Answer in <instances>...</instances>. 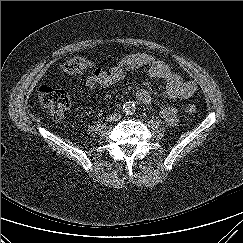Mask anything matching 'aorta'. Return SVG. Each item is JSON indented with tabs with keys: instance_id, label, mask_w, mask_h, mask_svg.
<instances>
[{
	"instance_id": "762f6f07",
	"label": "aorta",
	"mask_w": 243,
	"mask_h": 243,
	"mask_svg": "<svg viewBox=\"0 0 243 243\" xmlns=\"http://www.w3.org/2000/svg\"><path fill=\"white\" fill-rule=\"evenodd\" d=\"M123 111L126 114H133L135 112V105L132 102H125L123 105Z\"/></svg>"
}]
</instances>
